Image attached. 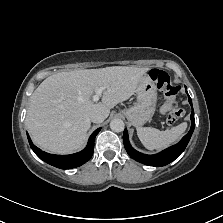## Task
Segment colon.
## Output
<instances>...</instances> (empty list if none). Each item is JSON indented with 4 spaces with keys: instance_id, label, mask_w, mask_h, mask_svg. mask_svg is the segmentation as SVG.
<instances>
[{
    "instance_id": "1",
    "label": "colon",
    "mask_w": 223,
    "mask_h": 223,
    "mask_svg": "<svg viewBox=\"0 0 223 223\" xmlns=\"http://www.w3.org/2000/svg\"><path fill=\"white\" fill-rule=\"evenodd\" d=\"M149 75L157 87L163 92L167 100L169 113L166 122L168 125H173L183 116V111L175 106V98L179 92V87L173 84L170 75L163 70L153 69Z\"/></svg>"
}]
</instances>
